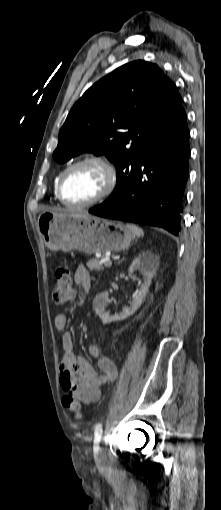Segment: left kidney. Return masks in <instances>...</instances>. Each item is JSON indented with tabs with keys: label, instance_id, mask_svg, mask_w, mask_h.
<instances>
[{
	"label": "left kidney",
	"instance_id": "left-kidney-1",
	"mask_svg": "<svg viewBox=\"0 0 221 510\" xmlns=\"http://www.w3.org/2000/svg\"><path fill=\"white\" fill-rule=\"evenodd\" d=\"M158 265V257L150 251L141 253L133 260L129 267V272L134 273L137 270L140 271L143 275V283L141 284L137 295L133 297L130 306L124 307L119 314L110 316L109 312L106 310L110 303L107 292L100 293L95 297L93 301V308L95 313L102 320L103 324L124 320L137 311L148 293L151 280L156 273Z\"/></svg>",
	"mask_w": 221,
	"mask_h": 510
}]
</instances>
